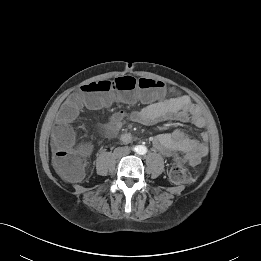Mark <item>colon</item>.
Here are the masks:
<instances>
[{"mask_svg":"<svg viewBox=\"0 0 261 261\" xmlns=\"http://www.w3.org/2000/svg\"><path fill=\"white\" fill-rule=\"evenodd\" d=\"M81 94L72 96L61 110L62 120L53 132L59 149L54 156V165L58 172L68 180L78 181L85 169L84 147L76 141L73 129L67 122L77 112L80 102L92 107L107 104L106 97L119 93L116 98L123 103L152 102L167 93L168 87L162 81L124 76L114 80L104 79L86 83L80 88ZM170 177L177 184L188 183L193 175L186 165V158L175 159Z\"/></svg>","mask_w":261,"mask_h":261,"instance_id":"1","label":"colon"}]
</instances>
